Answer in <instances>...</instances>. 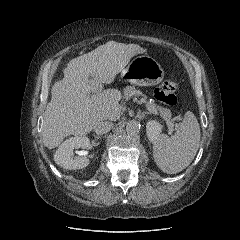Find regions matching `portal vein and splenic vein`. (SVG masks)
<instances>
[{
  "label": "portal vein and splenic vein",
  "mask_w": 240,
  "mask_h": 240,
  "mask_svg": "<svg viewBox=\"0 0 240 240\" xmlns=\"http://www.w3.org/2000/svg\"><path fill=\"white\" fill-rule=\"evenodd\" d=\"M100 89H101V87L97 88L96 92H99ZM140 102H141V101H140ZM146 108H147V110H148L149 112H151V113H153V114H157V111H156L154 108H152V107H150V106H148V105H146ZM167 125H168V127H169L170 132H173V126H174V125H173L171 122H168Z\"/></svg>",
  "instance_id": "18ae733b"
}]
</instances>
